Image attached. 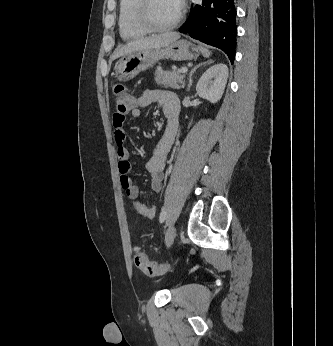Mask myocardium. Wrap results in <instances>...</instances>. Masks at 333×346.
Masks as SVG:
<instances>
[{"label":"myocardium","mask_w":333,"mask_h":346,"mask_svg":"<svg viewBox=\"0 0 333 346\" xmlns=\"http://www.w3.org/2000/svg\"><path fill=\"white\" fill-rule=\"evenodd\" d=\"M138 18L141 24L152 32H164L174 28L181 20L183 6L180 4L175 17L167 24L159 25L154 22L150 14L151 0H138Z\"/></svg>","instance_id":"f54148a6"}]
</instances>
